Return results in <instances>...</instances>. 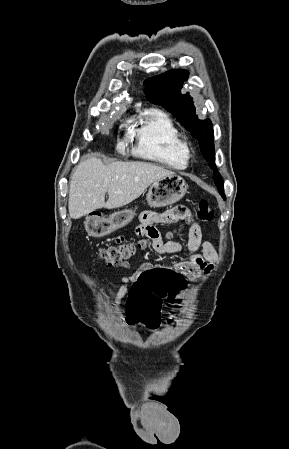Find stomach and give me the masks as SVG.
<instances>
[{
    "instance_id": "stomach-1",
    "label": "stomach",
    "mask_w": 289,
    "mask_h": 449,
    "mask_svg": "<svg viewBox=\"0 0 289 449\" xmlns=\"http://www.w3.org/2000/svg\"><path fill=\"white\" fill-rule=\"evenodd\" d=\"M187 189V183L181 176H166L152 183L146 200L153 208L172 205L187 193ZM135 215L134 210L126 209L114 212L108 218L91 216L85 221V229L90 236L101 238L127 225Z\"/></svg>"
}]
</instances>
